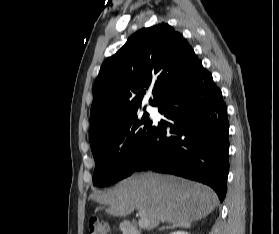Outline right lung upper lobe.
Listing matches in <instances>:
<instances>
[{
  "label": "right lung upper lobe",
  "mask_w": 279,
  "mask_h": 234,
  "mask_svg": "<svg viewBox=\"0 0 279 234\" xmlns=\"http://www.w3.org/2000/svg\"><path fill=\"white\" fill-rule=\"evenodd\" d=\"M201 61L181 33L161 23L133 34L101 66L90 110V144L138 113L147 89L160 106Z\"/></svg>",
  "instance_id": "cb5924a9"
}]
</instances>
